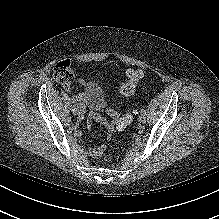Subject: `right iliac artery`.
I'll list each match as a JSON object with an SVG mask.
<instances>
[{
  "label": "right iliac artery",
  "instance_id": "right-iliac-artery-1",
  "mask_svg": "<svg viewBox=\"0 0 219 219\" xmlns=\"http://www.w3.org/2000/svg\"><path fill=\"white\" fill-rule=\"evenodd\" d=\"M72 103H76V99L75 98H71Z\"/></svg>",
  "mask_w": 219,
  "mask_h": 219
}]
</instances>
